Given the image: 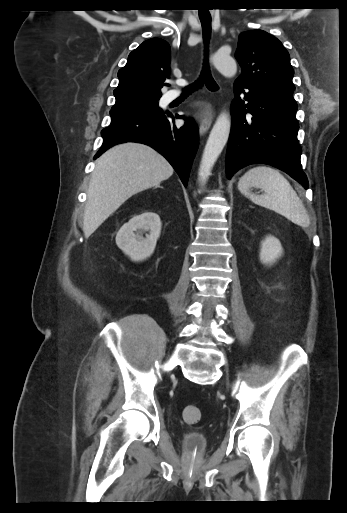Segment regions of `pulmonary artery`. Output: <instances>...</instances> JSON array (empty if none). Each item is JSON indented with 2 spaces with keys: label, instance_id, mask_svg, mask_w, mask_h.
I'll return each instance as SVG.
<instances>
[{
  "label": "pulmonary artery",
  "instance_id": "1",
  "mask_svg": "<svg viewBox=\"0 0 347 513\" xmlns=\"http://www.w3.org/2000/svg\"><path fill=\"white\" fill-rule=\"evenodd\" d=\"M177 84L180 86H184V85H186V81L183 79H180L177 81ZM179 96H180L179 92H177L176 90H170L166 93V95L164 97V101L171 102V101L175 100L176 98H178Z\"/></svg>",
  "mask_w": 347,
  "mask_h": 513
}]
</instances>
